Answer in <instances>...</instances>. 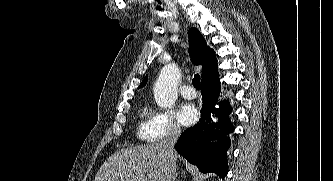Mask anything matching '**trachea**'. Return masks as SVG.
<instances>
[{"instance_id": "3493384b", "label": "trachea", "mask_w": 333, "mask_h": 181, "mask_svg": "<svg viewBox=\"0 0 333 181\" xmlns=\"http://www.w3.org/2000/svg\"><path fill=\"white\" fill-rule=\"evenodd\" d=\"M193 86L199 90L200 89V76L199 74H196L193 78Z\"/></svg>"}]
</instances>
